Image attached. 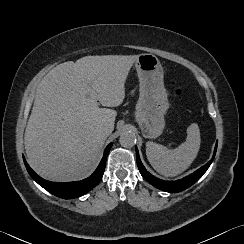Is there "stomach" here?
Instances as JSON below:
<instances>
[{"label":"stomach","mask_w":244,"mask_h":244,"mask_svg":"<svg viewBox=\"0 0 244 244\" xmlns=\"http://www.w3.org/2000/svg\"><path fill=\"white\" fill-rule=\"evenodd\" d=\"M140 82V95L136 104L135 120L143 135L159 137L166 125L169 101L164 87V71L159 59L151 53L138 55L135 62Z\"/></svg>","instance_id":"stomach-1"}]
</instances>
